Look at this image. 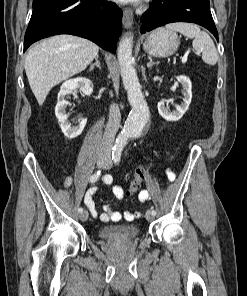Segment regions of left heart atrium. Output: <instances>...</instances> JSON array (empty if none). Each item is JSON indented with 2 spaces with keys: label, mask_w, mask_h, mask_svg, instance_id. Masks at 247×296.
Here are the masks:
<instances>
[{
  "label": "left heart atrium",
  "mask_w": 247,
  "mask_h": 296,
  "mask_svg": "<svg viewBox=\"0 0 247 296\" xmlns=\"http://www.w3.org/2000/svg\"><path fill=\"white\" fill-rule=\"evenodd\" d=\"M116 1L121 2V3H136L139 0H116Z\"/></svg>",
  "instance_id": "39dd6f15"
}]
</instances>
